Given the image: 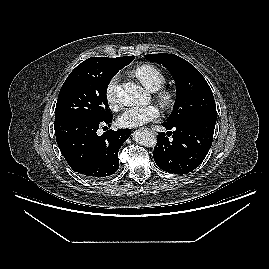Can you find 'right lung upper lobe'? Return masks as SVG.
Masks as SVG:
<instances>
[{
    "mask_svg": "<svg viewBox=\"0 0 269 269\" xmlns=\"http://www.w3.org/2000/svg\"><path fill=\"white\" fill-rule=\"evenodd\" d=\"M135 56H125L117 58L92 57L80 64V66H101V67H121L133 61Z\"/></svg>",
    "mask_w": 269,
    "mask_h": 269,
    "instance_id": "cb5924a9",
    "label": "right lung upper lobe"
}]
</instances>
